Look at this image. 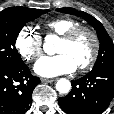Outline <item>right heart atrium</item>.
I'll use <instances>...</instances> for the list:
<instances>
[{
  "label": "right heart atrium",
  "instance_id": "obj_1",
  "mask_svg": "<svg viewBox=\"0 0 114 114\" xmlns=\"http://www.w3.org/2000/svg\"><path fill=\"white\" fill-rule=\"evenodd\" d=\"M42 45L41 35L31 26L22 27L15 38V48L27 62L34 61L41 56Z\"/></svg>",
  "mask_w": 114,
  "mask_h": 114
}]
</instances>
